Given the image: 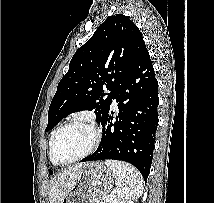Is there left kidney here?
I'll use <instances>...</instances> for the list:
<instances>
[{"label":"left kidney","mask_w":214,"mask_h":203,"mask_svg":"<svg viewBox=\"0 0 214 203\" xmlns=\"http://www.w3.org/2000/svg\"><path fill=\"white\" fill-rule=\"evenodd\" d=\"M120 203H133L132 201H122Z\"/></svg>","instance_id":"5707ae66"}]
</instances>
